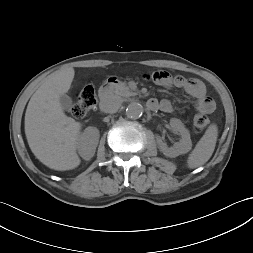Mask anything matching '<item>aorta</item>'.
<instances>
[{
	"instance_id": "762f6f07",
	"label": "aorta",
	"mask_w": 253,
	"mask_h": 253,
	"mask_svg": "<svg viewBox=\"0 0 253 253\" xmlns=\"http://www.w3.org/2000/svg\"><path fill=\"white\" fill-rule=\"evenodd\" d=\"M144 108L138 102H131L126 107V115L131 119H138L143 115Z\"/></svg>"
}]
</instances>
